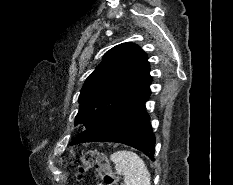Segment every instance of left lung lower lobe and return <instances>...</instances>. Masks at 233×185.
Returning a JSON list of instances; mask_svg holds the SVG:
<instances>
[{
  "mask_svg": "<svg viewBox=\"0 0 233 185\" xmlns=\"http://www.w3.org/2000/svg\"><path fill=\"white\" fill-rule=\"evenodd\" d=\"M152 77L148 74L126 90L91 128L79 134L71 144L93 141L117 142L132 146L151 160L155 153V136L146 113Z\"/></svg>",
  "mask_w": 233,
  "mask_h": 185,
  "instance_id": "0a47b994",
  "label": "left lung lower lobe"
}]
</instances>
